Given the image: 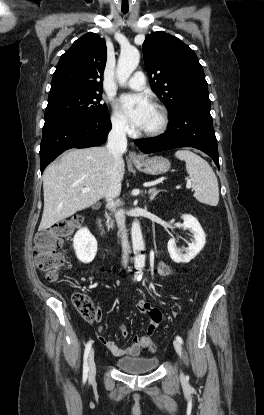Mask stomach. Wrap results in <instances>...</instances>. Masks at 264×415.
I'll list each match as a JSON object with an SVG mask.
<instances>
[{
    "label": "stomach",
    "instance_id": "1",
    "mask_svg": "<svg viewBox=\"0 0 264 415\" xmlns=\"http://www.w3.org/2000/svg\"><path fill=\"white\" fill-rule=\"evenodd\" d=\"M134 165L138 170L149 175L166 173L171 166L169 160L161 156L146 158L139 162H134Z\"/></svg>",
    "mask_w": 264,
    "mask_h": 415
}]
</instances>
